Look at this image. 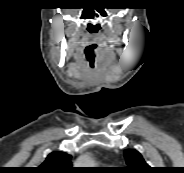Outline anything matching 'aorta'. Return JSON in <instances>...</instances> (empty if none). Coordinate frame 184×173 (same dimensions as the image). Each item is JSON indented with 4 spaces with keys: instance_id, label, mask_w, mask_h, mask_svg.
Listing matches in <instances>:
<instances>
[{
    "instance_id": "762f6f07",
    "label": "aorta",
    "mask_w": 184,
    "mask_h": 173,
    "mask_svg": "<svg viewBox=\"0 0 184 173\" xmlns=\"http://www.w3.org/2000/svg\"><path fill=\"white\" fill-rule=\"evenodd\" d=\"M78 164L79 165H93L94 162L93 160L89 157V156H84L82 157L79 161H78ZM88 167H91V166H88Z\"/></svg>"
}]
</instances>
